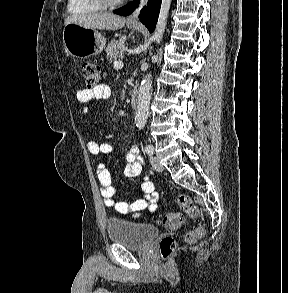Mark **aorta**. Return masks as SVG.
<instances>
[{
  "label": "aorta",
  "instance_id": "aorta-1",
  "mask_svg": "<svg viewBox=\"0 0 288 293\" xmlns=\"http://www.w3.org/2000/svg\"><path fill=\"white\" fill-rule=\"evenodd\" d=\"M172 0H162L160 14L156 29L153 34V40L159 44L163 38V34L167 24L168 13ZM152 88V75L149 73L142 80L138 92V103L135 116V125L139 129L144 128L149 112Z\"/></svg>",
  "mask_w": 288,
  "mask_h": 293
}]
</instances>
